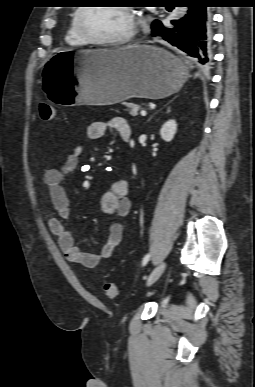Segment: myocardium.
Listing matches in <instances>:
<instances>
[{
  "mask_svg": "<svg viewBox=\"0 0 255 387\" xmlns=\"http://www.w3.org/2000/svg\"><path fill=\"white\" fill-rule=\"evenodd\" d=\"M123 9L132 19V26L128 33L124 36L116 39H98L93 37L84 27L83 24V14L86 10L91 8L90 6H81L77 9L75 14V28L79 36L88 44L98 45V46H120L130 42L135 34L137 28V15L133 8L129 6H117Z\"/></svg>",
  "mask_w": 255,
  "mask_h": 387,
  "instance_id": "f54148a6",
  "label": "myocardium"
}]
</instances>
